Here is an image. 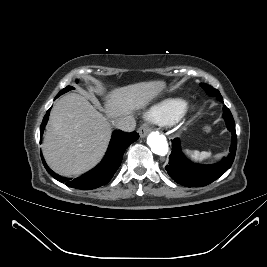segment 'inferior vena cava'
I'll list each match as a JSON object with an SVG mask.
<instances>
[{"label":"inferior vena cava","instance_id":"1","mask_svg":"<svg viewBox=\"0 0 267 267\" xmlns=\"http://www.w3.org/2000/svg\"><path fill=\"white\" fill-rule=\"evenodd\" d=\"M112 125L125 132H131L136 127L135 119L132 116H121L112 120Z\"/></svg>","mask_w":267,"mask_h":267}]
</instances>
